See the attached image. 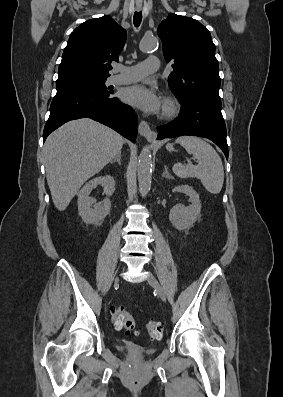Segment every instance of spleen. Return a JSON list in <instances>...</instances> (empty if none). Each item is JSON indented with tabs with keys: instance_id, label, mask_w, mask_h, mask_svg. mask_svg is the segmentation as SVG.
Returning a JSON list of instances; mask_svg holds the SVG:
<instances>
[{
	"instance_id": "3e777b00",
	"label": "spleen",
	"mask_w": 283,
	"mask_h": 397,
	"mask_svg": "<svg viewBox=\"0 0 283 397\" xmlns=\"http://www.w3.org/2000/svg\"><path fill=\"white\" fill-rule=\"evenodd\" d=\"M189 154L198 160L197 165L176 163L173 172L180 178H198L206 190L220 193L224 182V170L220 156L206 141L196 136H182L176 139Z\"/></svg>"
}]
</instances>
